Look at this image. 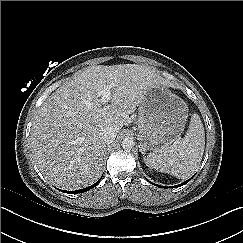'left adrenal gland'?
<instances>
[{
    "instance_id": "left-adrenal-gland-1",
    "label": "left adrenal gland",
    "mask_w": 243,
    "mask_h": 243,
    "mask_svg": "<svg viewBox=\"0 0 243 243\" xmlns=\"http://www.w3.org/2000/svg\"><path fill=\"white\" fill-rule=\"evenodd\" d=\"M140 151H141V153L143 154V158H144V160H146L145 152H144L142 149H140Z\"/></svg>"
}]
</instances>
